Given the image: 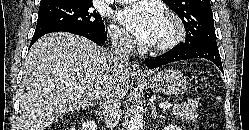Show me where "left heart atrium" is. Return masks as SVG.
Returning a JSON list of instances; mask_svg holds the SVG:
<instances>
[{
  "mask_svg": "<svg viewBox=\"0 0 249 130\" xmlns=\"http://www.w3.org/2000/svg\"><path fill=\"white\" fill-rule=\"evenodd\" d=\"M120 22L143 45L156 43L165 20L162 8L155 2H135L118 13Z\"/></svg>",
  "mask_w": 249,
  "mask_h": 130,
  "instance_id": "1",
  "label": "left heart atrium"
}]
</instances>
